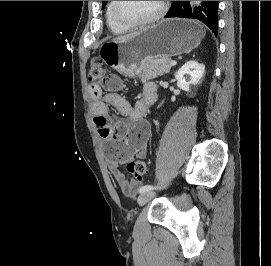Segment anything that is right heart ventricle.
Segmentation results:
<instances>
[{
    "label": "right heart ventricle",
    "instance_id": "1",
    "mask_svg": "<svg viewBox=\"0 0 271 266\" xmlns=\"http://www.w3.org/2000/svg\"><path fill=\"white\" fill-rule=\"evenodd\" d=\"M112 4L113 1H109L106 7V21L109 29L115 34H123L129 30V28L120 25L115 21L112 15Z\"/></svg>",
    "mask_w": 271,
    "mask_h": 266
}]
</instances>
